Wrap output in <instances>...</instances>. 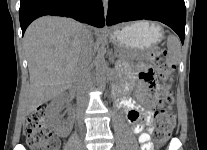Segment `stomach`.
<instances>
[{
    "label": "stomach",
    "instance_id": "stomach-1",
    "mask_svg": "<svg viewBox=\"0 0 207 150\" xmlns=\"http://www.w3.org/2000/svg\"><path fill=\"white\" fill-rule=\"evenodd\" d=\"M162 37V26L150 21H136L122 25L112 33L113 42L124 61H130L137 54L146 53L153 45L161 41Z\"/></svg>",
    "mask_w": 207,
    "mask_h": 150
}]
</instances>
